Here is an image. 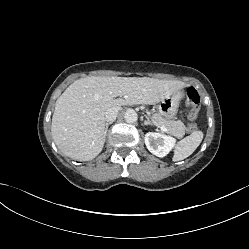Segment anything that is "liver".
<instances>
[{
    "instance_id": "1",
    "label": "liver",
    "mask_w": 249,
    "mask_h": 249,
    "mask_svg": "<svg viewBox=\"0 0 249 249\" xmlns=\"http://www.w3.org/2000/svg\"><path fill=\"white\" fill-rule=\"evenodd\" d=\"M185 83L147 77L92 76L74 81L57 99L51 134L66 156L88 161L103 149L105 113L112 107L159 103ZM119 97V98H118Z\"/></svg>"
}]
</instances>
